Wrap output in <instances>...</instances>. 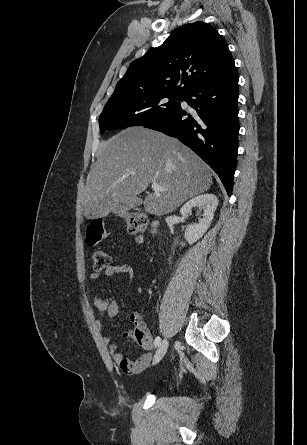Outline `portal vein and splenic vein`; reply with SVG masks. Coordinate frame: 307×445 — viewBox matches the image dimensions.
<instances>
[{
	"label": "portal vein and splenic vein",
	"instance_id": "18ae733b",
	"mask_svg": "<svg viewBox=\"0 0 307 445\" xmlns=\"http://www.w3.org/2000/svg\"><path fill=\"white\" fill-rule=\"evenodd\" d=\"M151 186L153 190H167V188H164V186H160V184H157V182H152Z\"/></svg>",
	"mask_w": 307,
	"mask_h": 445
}]
</instances>
